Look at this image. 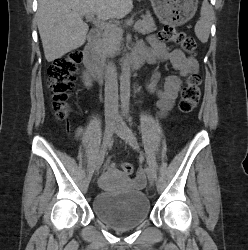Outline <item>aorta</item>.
I'll use <instances>...</instances> for the list:
<instances>
[{"instance_id":"1","label":"aorta","mask_w":248,"mask_h":250,"mask_svg":"<svg viewBox=\"0 0 248 250\" xmlns=\"http://www.w3.org/2000/svg\"><path fill=\"white\" fill-rule=\"evenodd\" d=\"M120 99L121 108L124 112L129 109L130 101V67L127 60L123 61L121 76H120Z\"/></svg>"}]
</instances>
